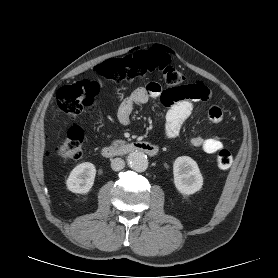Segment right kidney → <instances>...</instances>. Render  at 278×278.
Returning <instances> with one entry per match:
<instances>
[{
  "label": "right kidney",
  "instance_id": "obj_1",
  "mask_svg": "<svg viewBox=\"0 0 278 278\" xmlns=\"http://www.w3.org/2000/svg\"><path fill=\"white\" fill-rule=\"evenodd\" d=\"M95 175L96 168L92 163H81L70 172L66 186L73 193H88L94 184Z\"/></svg>",
  "mask_w": 278,
  "mask_h": 278
}]
</instances>
